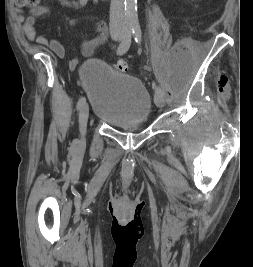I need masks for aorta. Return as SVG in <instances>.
Masks as SVG:
<instances>
[{
    "label": "aorta",
    "mask_w": 253,
    "mask_h": 267,
    "mask_svg": "<svg viewBox=\"0 0 253 267\" xmlns=\"http://www.w3.org/2000/svg\"><path fill=\"white\" fill-rule=\"evenodd\" d=\"M125 24L131 28H140L137 14V0H125Z\"/></svg>",
    "instance_id": "aorta-1"
}]
</instances>
